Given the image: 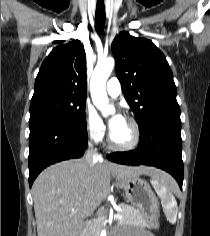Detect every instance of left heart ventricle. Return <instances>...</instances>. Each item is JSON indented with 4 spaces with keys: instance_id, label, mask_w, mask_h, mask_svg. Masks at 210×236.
I'll use <instances>...</instances> for the list:
<instances>
[{
    "instance_id": "left-heart-ventricle-1",
    "label": "left heart ventricle",
    "mask_w": 210,
    "mask_h": 236,
    "mask_svg": "<svg viewBox=\"0 0 210 236\" xmlns=\"http://www.w3.org/2000/svg\"><path fill=\"white\" fill-rule=\"evenodd\" d=\"M112 139L115 143L123 145L132 140L133 129L131 125L124 119V121L113 131H111Z\"/></svg>"
}]
</instances>
